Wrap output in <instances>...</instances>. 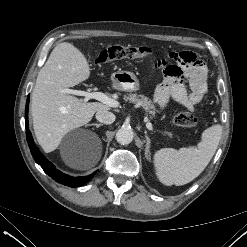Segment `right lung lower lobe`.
Listing matches in <instances>:
<instances>
[{
  "instance_id": "1",
  "label": "right lung lower lobe",
  "mask_w": 247,
  "mask_h": 247,
  "mask_svg": "<svg viewBox=\"0 0 247 247\" xmlns=\"http://www.w3.org/2000/svg\"><path fill=\"white\" fill-rule=\"evenodd\" d=\"M28 105H29V96H28V99L26 102V108H25V128H26L27 142H28L31 154L34 160L36 161V163H38L42 167V169L44 170L46 174H48L51 178H53L55 181L59 182L60 184L68 185L70 187H79L89 182V180L92 177H94L97 171L85 177H72L56 169L55 166L51 162H49L40 153L35 143L33 142L31 132L28 129L29 127L28 126Z\"/></svg>"
}]
</instances>
